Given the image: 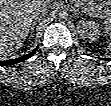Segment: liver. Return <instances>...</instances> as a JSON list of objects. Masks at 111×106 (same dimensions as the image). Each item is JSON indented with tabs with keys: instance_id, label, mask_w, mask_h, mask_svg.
Wrapping results in <instances>:
<instances>
[{
	"instance_id": "obj_1",
	"label": "liver",
	"mask_w": 111,
	"mask_h": 106,
	"mask_svg": "<svg viewBox=\"0 0 111 106\" xmlns=\"http://www.w3.org/2000/svg\"><path fill=\"white\" fill-rule=\"evenodd\" d=\"M41 0L0 1V55L7 57L22 47L32 23L31 10Z\"/></svg>"
}]
</instances>
